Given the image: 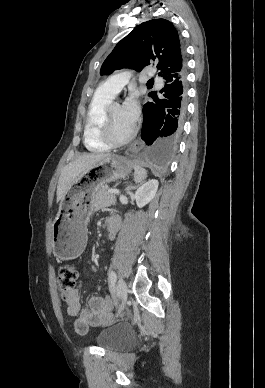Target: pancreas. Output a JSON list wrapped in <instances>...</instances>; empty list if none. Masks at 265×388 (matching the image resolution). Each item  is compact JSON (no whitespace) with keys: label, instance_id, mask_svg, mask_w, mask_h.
Segmentation results:
<instances>
[{"label":"pancreas","instance_id":"cf45deb5","mask_svg":"<svg viewBox=\"0 0 265 388\" xmlns=\"http://www.w3.org/2000/svg\"><path fill=\"white\" fill-rule=\"evenodd\" d=\"M107 190L108 188H106V186H98V188H96V194H94L92 200V204L96 210L107 208V206H115L116 196H111Z\"/></svg>","mask_w":265,"mask_h":388}]
</instances>
